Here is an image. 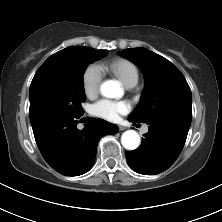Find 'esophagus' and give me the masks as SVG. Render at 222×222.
Segmentation results:
<instances>
[{
	"label": "esophagus",
	"instance_id": "esophagus-1",
	"mask_svg": "<svg viewBox=\"0 0 222 222\" xmlns=\"http://www.w3.org/2000/svg\"><path fill=\"white\" fill-rule=\"evenodd\" d=\"M126 128L124 126H119L120 131H124Z\"/></svg>",
	"mask_w": 222,
	"mask_h": 222
}]
</instances>
